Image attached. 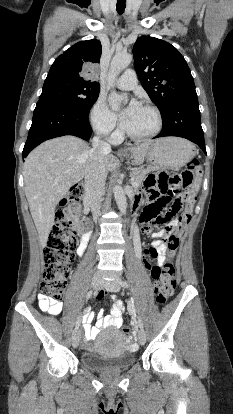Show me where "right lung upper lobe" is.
<instances>
[{
    "label": "right lung upper lobe",
    "mask_w": 233,
    "mask_h": 414,
    "mask_svg": "<svg viewBox=\"0 0 233 414\" xmlns=\"http://www.w3.org/2000/svg\"><path fill=\"white\" fill-rule=\"evenodd\" d=\"M102 52L99 40L76 43L60 55L52 64L47 77H64L75 81L99 85L82 77L87 67L99 63Z\"/></svg>",
    "instance_id": "cb5924a9"
}]
</instances>
